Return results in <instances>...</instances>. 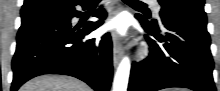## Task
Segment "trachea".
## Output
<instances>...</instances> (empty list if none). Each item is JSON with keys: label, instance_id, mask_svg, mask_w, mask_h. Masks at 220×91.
<instances>
[{"label": "trachea", "instance_id": "1", "mask_svg": "<svg viewBox=\"0 0 220 91\" xmlns=\"http://www.w3.org/2000/svg\"><path fill=\"white\" fill-rule=\"evenodd\" d=\"M127 4H131L138 7H147V5L141 1L138 0H123Z\"/></svg>", "mask_w": 220, "mask_h": 91}]
</instances>
